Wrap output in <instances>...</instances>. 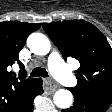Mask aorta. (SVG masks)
Masks as SVG:
<instances>
[{
	"instance_id": "1",
	"label": "aorta",
	"mask_w": 112,
	"mask_h": 112,
	"mask_svg": "<svg viewBox=\"0 0 112 112\" xmlns=\"http://www.w3.org/2000/svg\"><path fill=\"white\" fill-rule=\"evenodd\" d=\"M27 45L36 55H46L51 48L49 39L42 33H32L27 39ZM53 101L57 107L66 109L72 105L73 95L69 90L60 89L54 94Z\"/></svg>"
}]
</instances>
